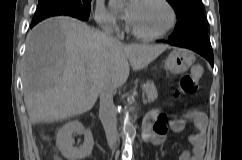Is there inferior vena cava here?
<instances>
[{
  "mask_svg": "<svg viewBox=\"0 0 242 160\" xmlns=\"http://www.w3.org/2000/svg\"><path fill=\"white\" fill-rule=\"evenodd\" d=\"M104 34L114 43H119V40L114 36L111 26H103ZM113 74H106L104 80L100 84V110L99 118L103 124L107 142L109 147L113 150L115 148L118 131L117 120L115 114V106L113 103V89L111 81Z\"/></svg>",
  "mask_w": 242,
  "mask_h": 160,
  "instance_id": "1",
  "label": "inferior vena cava"
}]
</instances>
